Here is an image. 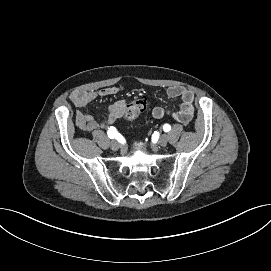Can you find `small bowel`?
I'll return each instance as SVG.
<instances>
[{"mask_svg": "<svg viewBox=\"0 0 271 271\" xmlns=\"http://www.w3.org/2000/svg\"><path fill=\"white\" fill-rule=\"evenodd\" d=\"M122 89L123 88L121 86H112L100 89L98 91H73L70 95V99L75 107L78 108L76 112V125L78 128L84 132H95L113 124L118 118H120L127 106L126 102L123 100L112 103L108 108L107 114L101 119H97L85 114L82 109L85 108L90 102L100 97L116 95L120 93ZM166 93L171 98L180 99V105L178 106L177 110L155 107L152 110L153 117L159 119L165 116H170L181 123L189 122L194 114L193 93L183 86L169 87Z\"/></svg>", "mask_w": 271, "mask_h": 271, "instance_id": "1", "label": "small bowel"}]
</instances>
